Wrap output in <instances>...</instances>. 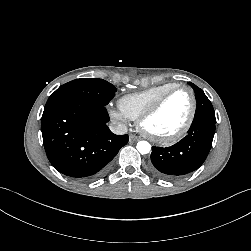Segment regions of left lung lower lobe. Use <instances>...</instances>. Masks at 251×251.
I'll return each mask as SVG.
<instances>
[{
    "label": "left lung lower lobe",
    "mask_w": 251,
    "mask_h": 251,
    "mask_svg": "<svg viewBox=\"0 0 251 251\" xmlns=\"http://www.w3.org/2000/svg\"><path fill=\"white\" fill-rule=\"evenodd\" d=\"M215 115L194 117L188 134L170 147H152L151 170L164 179H177L198 169L211 149L215 133Z\"/></svg>",
    "instance_id": "1"
}]
</instances>
